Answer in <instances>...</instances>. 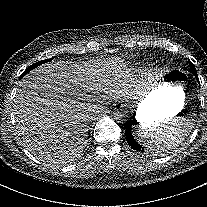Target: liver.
<instances>
[{
	"label": "liver",
	"mask_w": 207,
	"mask_h": 207,
	"mask_svg": "<svg viewBox=\"0 0 207 207\" xmlns=\"http://www.w3.org/2000/svg\"><path fill=\"white\" fill-rule=\"evenodd\" d=\"M95 68L62 62L43 64L26 74L14 98L16 133L29 151L75 155L86 146L95 105L86 103L95 87Z\"/></svg>",
	"instance_id": "6515ba94"
}]
</instances>
